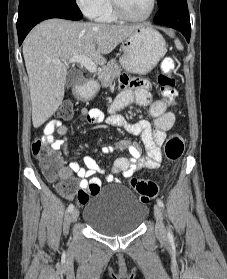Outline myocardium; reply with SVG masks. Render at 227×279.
I'll list each match as a JSON object with an SVG mask.
<instances>
[{
  "instance_id": "1",
  "label": "myocardium",
  "mask_w": 227,
  "mask_h": 279,
  "mask_svg": "<svg viewBox=\"0 0 227 279\" xmlns=\"http://www.w3.org/2000/svg\"><path fill=\"white\" fill-rule=\"evenodd\" d=\"M111 6L114 11V13L121 19H125L128 21H134V22H141L149 19L151 15L154 13L156 8V0H150V8L148 12L140 17H135L130 15L119 3V0H110Z\"/></svg>"
}]
</instances>
